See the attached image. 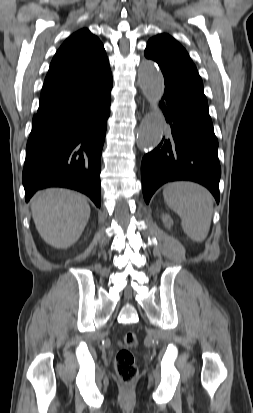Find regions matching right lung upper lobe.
<instances>
[{
	"label": "right lung upper lobe",
	"instance_id": "cb5924a9",
	"mask_svg": "<svg viewBox=\"0 0 253 413\" xmlns=\"http://www.w3.org/2000/svg\"><path fill=\"white\" fill-rule=\"evenodd\" d=\"M111 74L100 40L88 29L72 34L59 48L50 64L38 113L44 118L58 108L93 95Z\"/></svg>",
	"mask_w": 253,
	"mask_h": 413
}]
</instances>
